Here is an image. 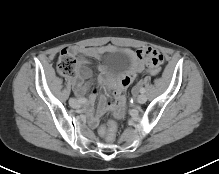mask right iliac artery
Here are the masks:
<instances>
[{
    "label": "right iliac artery",
    "instance_id": "obj_1",
    "mask_svg": "<svg viewBox=\"0 0 219 174\" xmlns=\"http://www.w3.org/2000/svg\"><path fill=\"white\" fill-rule=\"evenodd\" d=\"M78 102H79V103H82V104H85V103H87V99H85V98H79V99H78Z\"/></svg>",
    "mask_w": 219,
    "mask_h": 174
}]
</instances>
